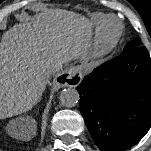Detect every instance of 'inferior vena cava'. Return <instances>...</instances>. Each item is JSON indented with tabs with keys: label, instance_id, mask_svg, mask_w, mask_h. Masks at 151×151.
<instances>
[{
	"label": "inferior vena cava",
	"instance_id": "inferior-vena-cava-1",
	"mask_svg": "<svg viewBox=\"0 0 151 151\" xmlns=\"http://www.w3.org/2000/svg\"><path fill=\"white\" fill-rule=\"evenodd\" d=\"M61 69V65H54V67H53V69H52V72L54 73V72H57V71H59Z\"/></svg>",
	"mask_w": 151,
	"mask_h": 151
}]
</instances>
